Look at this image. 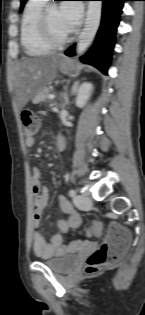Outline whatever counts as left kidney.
Segmentation results:
<instances>
[{"instance_id":"obj_1","label":"left kidney","mask_w":145,"mask_h":315,"mask_svg":"<svg viewBox=\"0 0 145 315\" xmlns=\"http://www.w3.org/2000/svg\"><path fill=\"white\" fill-rule=\"evenodd\" d=\"M92 89H93V85L91 83H83L80 87H79V90L77 92V97H76V105L79 107V108H83L91 93H92Z\"/></svg>"}]
</instances>
